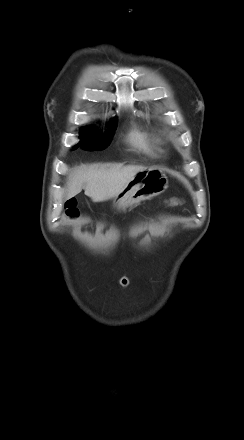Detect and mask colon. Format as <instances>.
Instances as JSON below:
<instances>
[{"label": "colon", "instance_id": "5ec220e1", "mask_svg": "<svg viewBox=\"0 0 244 440\" xmlns=\"http://www.w3.org/2000/svg\"><path fill=\"white\" fill-rule=\"evenodd\" d=\"M180 203V201L176 198H172L169 201H167V204L169 206H176ZM65 214L66 216L70 217V218H75L78 216V210L76 207L75 202L73 201H68L65 205Z\"/></svg>", "mask_w": 244, "mask_h": 440}]
</instances>
